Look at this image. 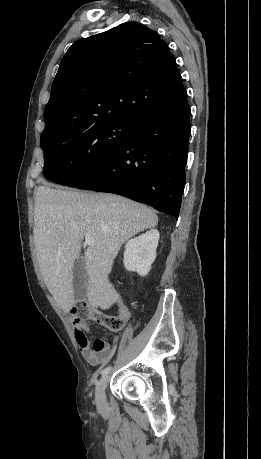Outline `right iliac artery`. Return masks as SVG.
Segmentation results:
<instances>
[{"label":"right iliac artery","mask_w":261,"mask_h":459,"mask_svg":"<svg viewBox=\"0 0 261 459\" xmlns=\"http://www.w3.org/2000/svg\"><path fill=\"white\" fill-rule=\"evenodd\" d=\"M110 370H111V367H110V366H109V367H106L105 369L102 370L101 374H102V375H106V374H108V373L110 372Z\"/></svg>","instance_id":"1"}]
</instances>
